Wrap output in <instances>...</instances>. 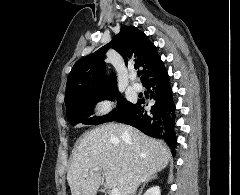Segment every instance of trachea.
Wrapping results in <instances>:
<instances>
[{"mask_svg":"<svg viewBox=\"0 0 240 195\" xmlns=\"http://www.w3.org/2000/svg\"><path fill=\"white\" fill-rule=\"evenodd\" d=\"M142 73H143V72H137V75L140 76V75H142Z\"/></svg>","mask_w":240,"mask_h":195,"instance_id":"3493384b","label":"trachea"}]
</instances>
